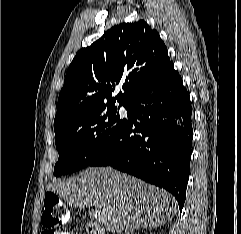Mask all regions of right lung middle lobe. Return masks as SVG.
<instances>
[{
    "instance_id": "obj_1",
    "label": "right lung middle lobe",
    "mask_w": 241,
    "mask_h": 234,
    "mask_svg": "<svg viewBox=\"0 0 241 234\" xmlns=\"http://www.w3.org/2000/svg\"><path fill=\"white\" fill-rule=\"evenodd\" d=\"M121 121L117 107L112 103L99 107L78 122L55 131L59 159L54 167V175L59 177L89 166L112 139Z\"/></svg>"
}]
</instances>
